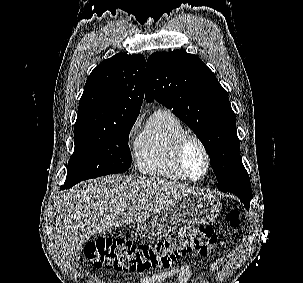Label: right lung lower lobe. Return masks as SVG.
Masks as SVG:
<instances>
[{"mask_svg":"<svg viewBox=\"0 0 303 283\" xmlns=\"http://www.w3.org/2000/svg\"><path fill=\"white\" fill-rule=\"evenodd\" d=\"M66 188H68V187H66L65 185L61 187V189H66Z\"/></svg>","mask_w":303,"mask_h":283,"instance_id":"right-lung-lower-lobe-1","label":"right lung lower lobe"}]
</instances>
